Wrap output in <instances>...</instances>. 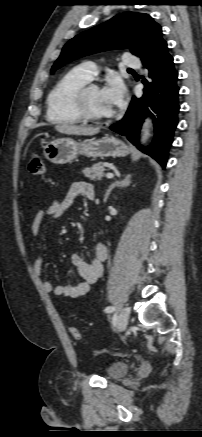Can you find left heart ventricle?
Instances as JSON below:
<instances>
[{"instance_id":"b2bd125f","label":"left heart ventricle","mask_w":202,"mask_h":437,"mask_svg":"<svg viewBox=\"0 0 202 437\" xmlns=\"http://www.w3.org/2000/svg\"><path fill=\"white\" fill-rule=\"evenodd\" d=\"M87 106L92 114L99 117L109 116L114 112L101 88H94L89 91Z\"/></svg>"}]
</instances>
